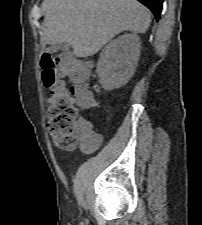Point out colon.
<instances>
[{
  "instance_id": "colon-1",
  "label": "colon",
  "mask_w": 202,
  "mask_h": 225,
  "mask_svg": "<svg viewBox=\"0 0 202 225\" xmlns=\"http://www.w3.org/2000/svg\"><path fill=\"white\" fill-rule=\"evenodd\" d=\"M40 67L42 82L50 89L46 128L56 148L66 152L77 145L84 149L91 148L97 139L92 136L89 126H80L77 122L79 110L76 100L79 93L89 94L90 90V77L85 72L83 62L45 51ZM64 79H68L70 84H66Z\"/></svg>"
}]
</instances>
